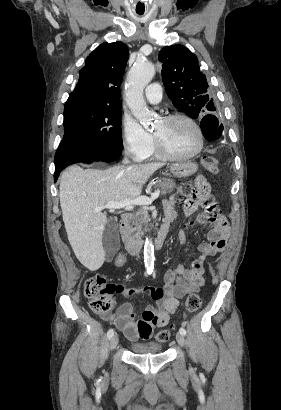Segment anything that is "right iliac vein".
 I'll return each instance as SVG.
<instances>
[{
  "label": "right iliac vein",
  "instance_id": "obj_1",
  "mask_svg": "<svg viewBox=\"0 0 281 410\" xmlns=\"http://www.w3.org/2000/svg\"><path fill=\"white\" fill-rule=\"evenodd\" d=\"M119 342V338L117 335H114L111 340H110V348L111 349H115L118 345Z\"/></svg>",
  "mask_w": 281,
  "mask_h": 410
}]
</instances>
